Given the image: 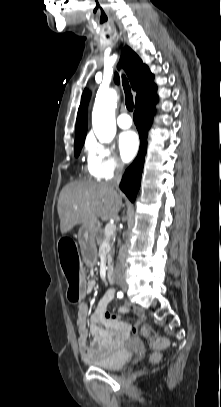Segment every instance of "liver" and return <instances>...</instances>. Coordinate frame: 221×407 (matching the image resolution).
<instances>
[{
	"mask_svg": "<svg viewBox=\"0 0 221 407\" xmlns=\"http://www.w3.org/2000/svg\"><path fill=\"white\" fill-rule=\"evenodd\" d=\"M121 207V196L108 183L75 181L67 184L57 204L61 233L66 234L78 224L96 223L99 217L113 219Z\"/></svg>",
	"mask_w": 221,
	"mask_h": 407,
	"instance_id": "6515ba94",
	"label": "liver"
}]
</instances>
